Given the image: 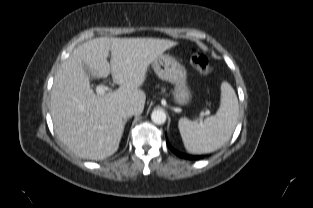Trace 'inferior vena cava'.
<instances>
[{
	"mask_svg": "<svg viewBox=\"0 0 313 208\" xmlns=\"http://www.w3.org/2000/svg\"><path fill=\"white\" fill-rule=\"evenodd\" d=\"M118 114L123 118H128L136 113V109L131 104H121L117 108Z\"/></svg>",
	"mask_w": 313,
	"mask_h": 208,
	"instance_id": "602c4592",
	"label": "inferior vena cava"
}]
</instances>
